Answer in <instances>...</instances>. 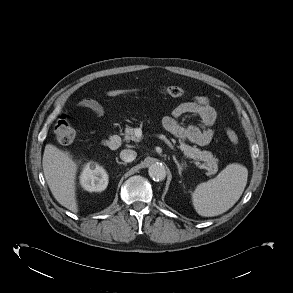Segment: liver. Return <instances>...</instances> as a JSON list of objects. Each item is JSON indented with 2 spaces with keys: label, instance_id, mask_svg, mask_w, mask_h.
Listing matches in <instances>:
<instances>
[{
  "label": "liver",
  "instance_id": "liver-1",
  "mask_svg": "<svg viewBox=\"0 0 293 293\" xmlns=\"http://www.w3.org/2000/svg\"><path fill=\"white\" fill-rule=\"evenodd\" d=\"M42 166L47 184L54 198L70 211L78 212L76 175L78 164L68 151L53 144L45 146Z\"/></svg>",
  "mask_w": 293,
  "mask_h": 293
}]
</instances>
